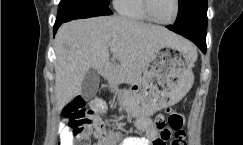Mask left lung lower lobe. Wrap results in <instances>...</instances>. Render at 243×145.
<instances>
[{"instance_id":"0a47b994","label":"left lung lower lobe","mask_w":243,"mask_h":145,"mask_svg":"<svg viewBox=\"0 0 243 145\" xmlns=\"http://www.w3.org/2000/svg\"><path fill=\"white\" fill-rule=\"evenodd\" d=\"M167 28L188 38L194 42L203 53H206V32L195 22L183 20L182 16L178 15L174 25L167 26Z\"/></svg>"}]
</instances>
